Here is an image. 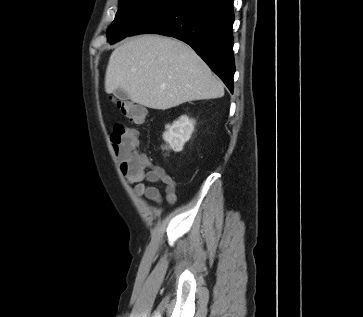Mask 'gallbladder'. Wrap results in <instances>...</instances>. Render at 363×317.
I'll return each mask as SVG.
<instances>
[{
  "label": "gallbladder",
  "mask_w": 363,
  "mask_h": 317,
  "mask_svg": "<svg viewBox=\"0 0 363 317\" xmlns=\"http://www.w3.org/2000/svg\"><path fill=\"white\" fill-rule=\"evenodd\" d=\"M115 95V97L119 98V99H127L128 98V95L126 92H124L123 90L121 89H116L113 93Z\"/></svg>",
  "instance_id": "gallbladder-1"
}]
</instances>
